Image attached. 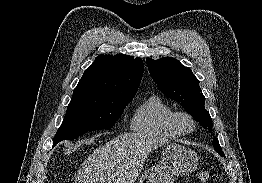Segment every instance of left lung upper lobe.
Returning a JSON list of instances; mask_svg holds the SVG:
<instances>
[{"mask_svg":"<svg viewBox=\"0 0 262 183\" xmlns=\"http://www.w3.org/2000/svg\"><path fill=\"white\" fill-rule=\"evenodd\" d=\"M146 61L150 75L159 90L170 99L180 102L203 128L211 131L212 119L204 106L205 97L191 69L172 57L158 60L147 58ZM212 144L216 152L224 156L217 138H213Z\"/></svg>","mask_w":262,"mask_h":183,"instance_id":"1","label":"left lung upper lobe"}]
</instances>
